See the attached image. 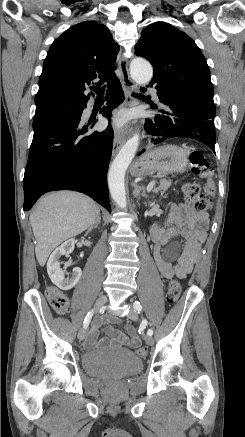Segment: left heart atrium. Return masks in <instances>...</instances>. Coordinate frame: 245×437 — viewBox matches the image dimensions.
I'll return each instance as SVG.
<instances>
[{
  "label": "left heart atrium",
  "mask_w": 245,
  "mask_h": 437,
  "mask_svg": "<svg viewBox=\"0 0 245 437\" xmlns=\"http://www.w3.org/2000/svg\"><path fill=\"white\" fill-rule=\"evenodd\" d=\"M127 120H128V117L125 113H123V112L117 113L111 121V126L116 131L121 132L123 130V128L125 127Z\"/></svg>",
  "instance_id": "1"
}]
</instances>
